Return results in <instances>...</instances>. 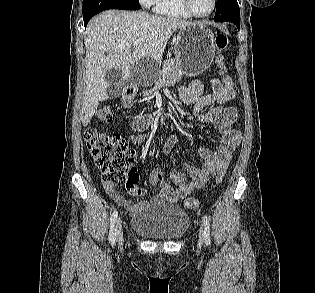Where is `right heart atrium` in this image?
<instances>
[{"instance_id": "obj_1", "label": "right heart atrium", "mask_w": 315, "mask_h": 293, "mask_svg": "<svg viewBox=\"0 0 315 293\" xmlns=\"http://www.w3.org/2000/svg\"><path fill=\"white\" fill-rule=\"evenodd\" d=\"M157 0H139V2L141 3L142 6H144L145 8H155V4H156Z\"/></svg>"}]
</instances>
